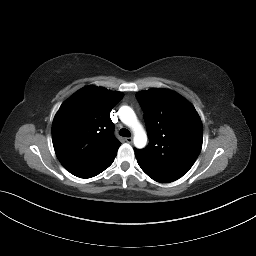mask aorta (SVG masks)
Here are the masks:
<instances>
[{
    "mask_svg": "<svg viewBox=\"0 0 256 256\" xmlns=\"http://www.w3.org/2000/svg\"><path fill=\"white\" fill-rule=\"evenodd\" d=\"M120 120L130 127L134 133V145L136 148H144L147 143V134L137 119V116L129 106H122L119 109Z\"/></svg>",
    "mask_w": 256,
    "mask_h": 256,
    "instance_id": "aorta-1",
    "label": "aorta"
}]
</instances>
